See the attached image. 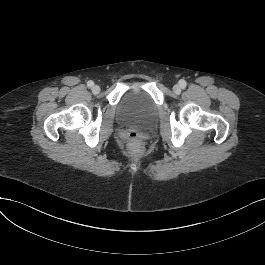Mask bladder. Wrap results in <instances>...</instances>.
Returning a JSON list of instances; mask_svg holds the SVG:
<instances>
[{"instance_id": "bladder-1", "label": "bladder", "mask_w": 265, "mask_h": 265, "mask_svg": "<svg viewBox=\"0 0 265 265\" xmlns=\"http://www.w3.org/2000/svg\"><path fill=\"white\" fill-rule=\"evenodd\" d=\"M156 112L155 106L138 92L129 93L119 105L120 117L129 123H148Z\"/></svg>"}]
</instances>
